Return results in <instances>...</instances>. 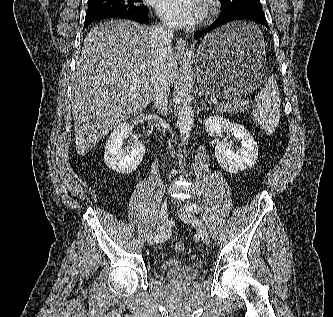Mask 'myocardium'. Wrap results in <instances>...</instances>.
<instances>
[{"label":"myocardium","mask_w":333,"mask_h":317,"mask_svg":"<svg viewBox=\"0 0 333 317\" xmlns=\"http://www.w3.org/2000/svg\"><path fill=\"white\" fill-rule=\"evenodd\" d=\"M218 9V3L216 0H205L204 5V19L211 18Z\"/></svg>","instance_id":"1"}]
</instances>
